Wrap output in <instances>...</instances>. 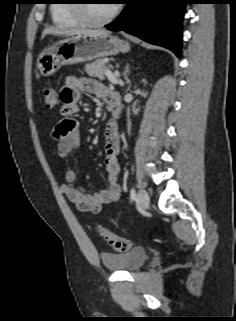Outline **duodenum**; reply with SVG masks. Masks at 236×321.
<instances>
[{"mask_svg":"<svg viewBox=\"0 0 236 321\" xmlns=\"http://www.w3.org/2000/svg\"><path fill=\"white\" fill-rule=\"evenodd\" d=\"M109 110L114 118H119L122 114L120 96L113 94L108 101Z\"/></svg>","mask_w":236,"mask_h":321,"instance_id":"obj_1","label":"duodenum"}]
</instances>
